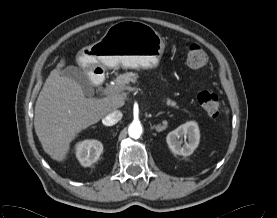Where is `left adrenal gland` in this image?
<instances>
[{"instance_id": "obj_1", "label": "left adrenal gland", "mask_w": 277, "mask_h": 218, "mask_svg": "<svg viewBox=\"0 0 277 218\" xmlns=\"http://www.w3.org/2000/svg\"><path fill=\"white\" fill-rule=\"evenodd\" d=\"M163 112H159L158 114H157V116H159L160 114H162Z\"/></svg>"}]
</instances>
